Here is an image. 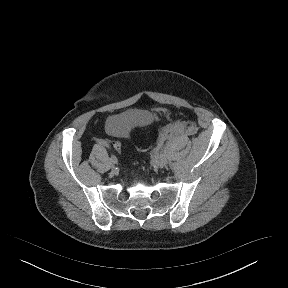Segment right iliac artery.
I'll list each match as a JSON object with an SVG mask.
<instances>
[{
    "instance_id": "1",
    "label": "right iliac artery",
    "mask_w": 288,
    "mask_h": 288,
    "mask_svg": "<svg viewBox=\"0 0 288 288\" xmlns=\"http://www.w3.org/2000/svg\"><path fill=\"white\" fill-rule=\"evenodd\" d=\"M97 142H98L100 145H103V146L107 147L108 149H111V146H110L109 142H107V141H105V140H103V139H97ZM110 160H111L112 162H114V163L117 162V158H116V156H115L114 154H111Z\"/></svg>"
}]
</instances>
